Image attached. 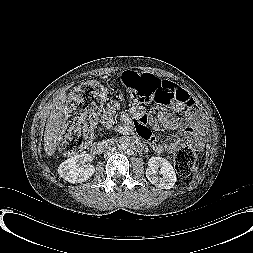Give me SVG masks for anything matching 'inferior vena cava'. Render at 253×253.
Listing matches in <instances>:
<instances>
[{"mask_svg":"<svg viewBox=\"0 0 253 253\" xmlns=\"http://www.w3.org/2000/svg\"><path fill=\"white\" fill-rule=\"evenodd\" d=\"M108 152H109L110 154H113V153L115 152V148H114V147H110V148L108 149Z\"/></svg>","mask_w":253,"mask_h":253,"instance_id":"602c4592","label":"inferior vena cava"}]
</instances>
